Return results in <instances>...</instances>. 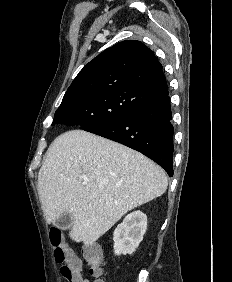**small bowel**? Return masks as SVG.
Here are the masks:
<instances>
[{
  "instance_id": "small-bowel-1",
  "label": "small bowel",
  "mask_w": 232,
  "mask_h": 282,
  "mask_svg": "<svg viewBox=\"0 0 232 282\" xmlns=\"http://www.w3.org/2000/svg\"><path fill=\"white\" fill-rule=\"evenodd\" d=\"M71 254L72 255H74L72 252H71ZM78 260H79V258L76 256V255H74ZM77 282H89L87 279H85V278H83V276L79 279V281H77Z\"/></svg>"
}]
</instances>
